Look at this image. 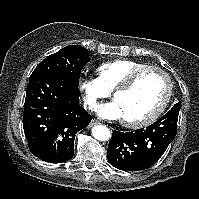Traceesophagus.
Masks as SVG:
<instances>
[{
	"label": "esophagus",
	"mask_w": 199,
	"mask_h": 199,
	"mask_svg": "<svg viewBox=\"0 0 199 199\" xmlns=\"http://www.w3.org/2000/svg\"><path fill=\"white\" fill-rule=\"evenodd\" d=\"M97 124H99V122L95 119H92V121L90 122V126H95Z\"/></svg>",
	"instance_id": "1"
}]
</instances>
